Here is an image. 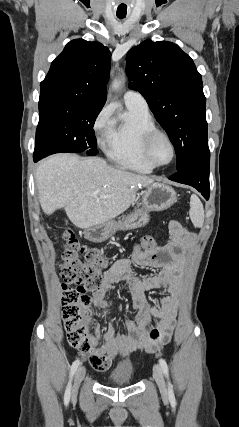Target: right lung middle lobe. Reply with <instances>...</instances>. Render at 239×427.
Returning a JSON list of instances; mask_svg holds the SVG:
<instances>
[{
    "mask_svg": "<svg viewBox=\"0 0 239 427\" xmlns=\"http://www.w3.org/2000/svg\"><path fill=\"white\" fill-rule=\"evenodd\" d=\"M102 107L71 101H39V123L33 158L50 154L83 152L96 155L94 122Z\"/></svg>",
    "mask_w": 239,
    "mask_h": 427,
    "instance_id": "dd1d6c3e",
    "label": "right lung middle lobe"
}]
</instances>
